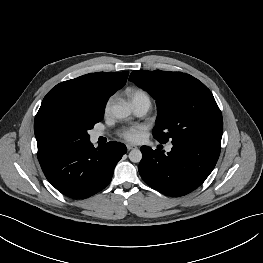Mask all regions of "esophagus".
I'll use <instances>...</instances> for the list:
<instances>
[{"mask_svg":"<svg viewBox=\"0 0 263 263\" xmlns=\"http://www.w3.org/2000/svg\"><path fill=\"white\" fill-rule=\"evenodd\" d=\"M126 147H127L128 150H133V149L137 148L136 145H132V144H127Z\"/></svg>","mask_w":263,"mask_h":263,"instance_id":"obj_1","label":"esophagus"}]
</instances>
